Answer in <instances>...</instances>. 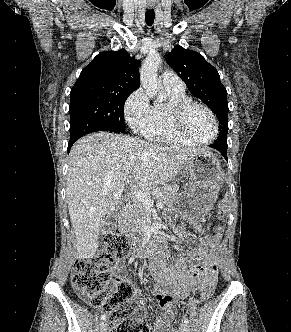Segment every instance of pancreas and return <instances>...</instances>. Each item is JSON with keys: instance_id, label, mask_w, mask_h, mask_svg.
I'll list each match as a JSON object with an SVG mask.
<instances>
[{"instance_id": "pancreas-1", "label": "pancreas", "mask_w": 291, "mask_h": 332, "mask_svg": "<svg viewBox=\"0 0 291 332\" xmlns=\"http://www.w3.org/2000/svg\"><path fill=\"white\" fill-rule=\"evenodd\" d=\"M179 190L177 185H164L157 188L155 192L157 203L167 205ZM146 215V206L137 201L129 206L123 213L119 229L121 232L141 231V226Z\"/></svg>"}]
</instances>
